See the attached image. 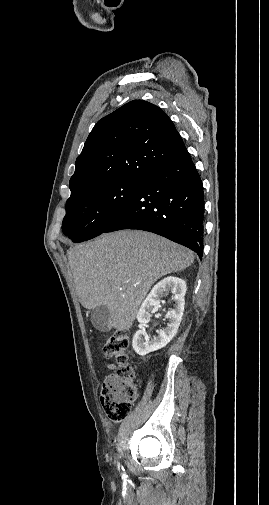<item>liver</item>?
Returning <instances> with one entry per match:
<instances>
[{
	"label": "liver",
	"mask_w": 269,
	"mask_h": 505,
	"mask_svg": "<svg viewBox=\"0 0 269 505\" xmlns=\"http://www.w3.org/2000/svg\"><path fill=\"white\" fill-rule=\"evenodd\" d=\"M79 301L86 309L106 306L112 326L129 330L151 286L194 261L189 249L153 233L122 230L67 252Z\"/></svg>",
	"instance_id": "1"
}]
</instances>
